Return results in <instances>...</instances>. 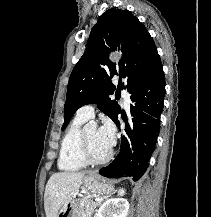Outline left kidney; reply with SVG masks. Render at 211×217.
<instances>
[{"instance_id":"1","label":"left kidney","mask_w":211,"mask_h":217,"mask_svg":"<svg viewBox=\"0 0 211 217\" xmlns=\"http://www.w3.org/2000/svg\"><path fill=\"white\" fill-rule=\"evenodd\" d=\"M129 202L124 198H110L99 208L96 217H127Z\"/></svg>"}]
</instances>
